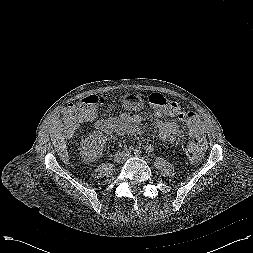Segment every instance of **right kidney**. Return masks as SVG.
Masks as SVG:
<instances>
[{"label": "right kidney", "mask_w": 253, "mask_h": 253, "mask_svg": "<svg viewBox=\"0 0 253 253\" xmlns=\"http://www.w3.org/2000/svg\"><path fill=\"white\" fill-rule=\"evenodd\" d=\"M106 143L105 136L101 132L89 135L81 145V157L83 161L90 163L96 161L101 155Z\"/></svg>", "instance_id": "ca27d5eb"}]
</instances>
